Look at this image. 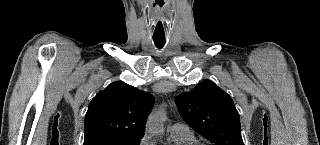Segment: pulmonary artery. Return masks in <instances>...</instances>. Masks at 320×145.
Wrapping results in <instances>:
<instances>
[{"label":"pulmonary artery","instance_id":"1","mask_svg":"<svg viewBox=\"0 0 320 145\" xmlns=\"http://www.w3.org/2000/svg\"><path fill=\"white\" fill-rule=\"evenodd\" d=\"M170 133H192L189 126L185 123L176 122L169 126Z\"/></svg>","mask_w":320,"mask_h":145}]
</instances>
